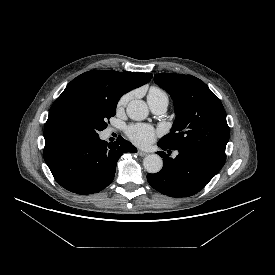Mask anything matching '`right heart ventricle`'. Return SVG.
I'll return each mask as SVG.
<instances>
[{
  "label": "right heart ventricle",
  "mask_w": 275,
  "mask_h": 275,
  "mask_svg": "<svg viewBox=\"0 0 275 275\" xmlns=\"http://www.w3.org/2000/svg\"><path fill=\"white\" fill-rule=\"evenodd\" d=\"M148 99H160V98H165L168 100L167 94L160 88L158 87H151L148 92Z\"/></svg>",
  "instance_id": "e07e8e85"
}]
</instances>
